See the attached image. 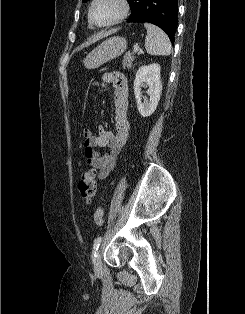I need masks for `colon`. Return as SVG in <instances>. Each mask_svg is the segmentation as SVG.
I'll return each mask as SVG.
<instances>
[{"instance_id": "obj_1", "label": "colon", "mask_w": 245, "mask_h": 314, "mask_svg": "<svg viewBox=\"0 0 245 314\" xmlns=\"http://www.w3.org/2000/svg\"><path fill=\"white\" fill-rule=\"evenodd\" d=\"M79 191L85 201H90L96 194V172L94 169L85 171L79 181ZM95 222L98 226L103 225V209L98 207L95 212Z\"/></svg>"}]
</instances>
